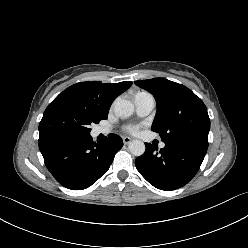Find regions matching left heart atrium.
Wrapping results in <instances>:
<instances>
[{"label": "left heart atrium", "instance_id": "1", "mask_svg": "<svg viewBox=\"0 0 248 248\" xmlns=\"http://www.w3.org/2000/svg\"><path fill=\"white\" fill-rule=\"evenodd\" d=\"M128 132L135 133L138 130L137 125H128L125 127Z\"/></svg>", "mask_w": 248, "mask_h": 248}]
</instances>
